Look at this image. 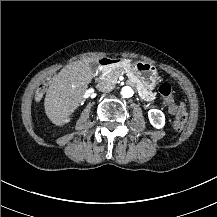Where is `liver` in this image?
<instances>
[{"mask_svg":"<svg viewBox=\"0 0 217 217\" xmlns=\"http://www.w3.org/2000/svg\"><path fill=\"white\" fill-rule=\"evenodd\" d=\"M103 59L98 57L70 63L53 78L45 95L44 110L55 126L63 127L79 108L94 77L91 64H100Z\"/></svg>","mask_w":217,"mask_h":217,"instance_id":"6515ba94","label":"liver"}]
</instances>
